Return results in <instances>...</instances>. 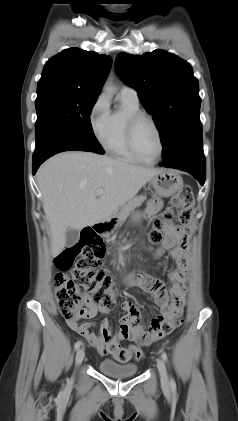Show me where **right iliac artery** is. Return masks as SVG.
I'll return each mask as SVG.
<instances>
[{
    "label": "right iliac artery",
    "mask_w": 238,
    "mask_h": 421,
    "mask_svg": "<svg viewBox=\"0 0 238 421\" xmlns=\"http://www.w3.org/2000/svg\"><path fill=\"white\" fill-rule=\"evenodd\" d=\"M81 344H82V342H81V341H77V342L75 343V345H74V349H75V350H78V349H79V347L81 346Z\"/></svg>",
    "instance_id": "right-iliac-artery-1"
}]
</instances>
